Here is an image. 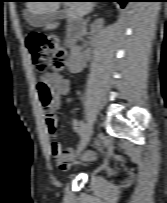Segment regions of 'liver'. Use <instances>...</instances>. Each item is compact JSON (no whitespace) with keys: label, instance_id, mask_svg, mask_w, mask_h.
Masks as SVG:
<instances>
[{"label":"liver","instance_id":"obj_1","mask_svg":"<svg viewBox=\"0 0 167 203\" xmlns=\"http://www.w3.org/2000/svg\"><path fill=\"white\" fill-rule=\"evenodd\" d=\"M60 6V2H28L27 8L30 13L46 14L55 12ZM68 16L72 19H81L90 13L94 7L93 2H69ZM58 27V23L49 24L46 30H52Z\"/></svg>","mask_w":167,"mask_h":203}]
</instances>
